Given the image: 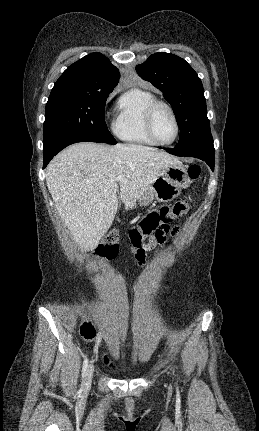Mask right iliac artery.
I'll return each mask as SVG.
<instances>
[{
	"label": "right iliac artery",
	"instance_id": "1",
	"mask_svg": "<svg viewBox=\"0 0 259 431\" xmlns=\"http://www.w3.org/2000/svg\"><path fill=\"white\" fill-rule=\"evenodd\" d=\"M88 358L86 357L85 359H84V362H83V367H82V380L84 381V378H85V376H86V370H87V367H88ZM82 386H83V384H82Z\"/></svg>",
	"mask_w": 259,
	"mask_h": 431
}]
</instances>
